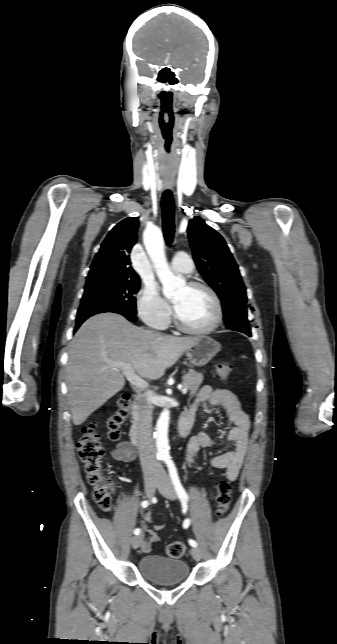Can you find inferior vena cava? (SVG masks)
<instances>
[{
	"instance_id": "obj_1",
	"label": "inferior vena cava",
	"mask_w": 337,
	"mask_h": 644,
	"mask_svg": "<svg viewBox=\"0 0 337 644\" xmlns=\"http://www.w3.org/2000/svg\"><path fill=\"white\" fill-rule=\"evenodd\" d=\"M152 409L148 401L141 412L138 448L144 474H162L163 469L156 459L155 444L152 436Z\"/></svg>"
}]
</instances>
